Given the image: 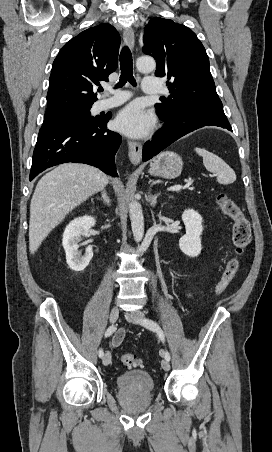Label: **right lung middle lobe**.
Wrapping results in <instances>:
<instances>
[{"label": "right lung middle lobe", "mask_w": 272, "mask_h": 452, "mask_svg": "<svg viewBox=\"0 0 272 452\" xmlns=\"http://www.w3.org/2000/svg\"><path fill=\"white\" fill-rule=\"evenodd\" d=\"M90 109H91V106H88V107L78 108V109H74V110H70V111H66V112L57 113V114L45 115L44 119L72 118V119H82L85 121H92L96 117L91 116Z\"/></svg>", "instance_id": "1"}]
</instances>
